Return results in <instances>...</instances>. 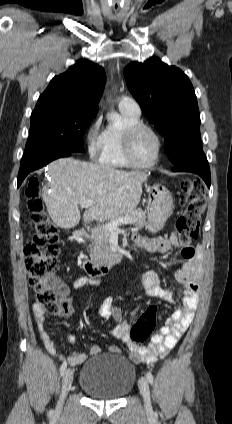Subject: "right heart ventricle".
<instances>
[{
    "label": "right heart ventricle",
    "instance_id": "right-heart-ventricle-1",
    "mask_svg": "<svg viewBox=\"0 0 232 424\" xmlns=\"http://www.w3.org/2000/svg\"><path fill=\"white\" fill-rule=\"evenodd\" d=\"M121 121L118 124L110 123L101 132L102 147L99 163L104 166L124 168L130 167L124 156L123 139L127 127L140 123V114L120 110Z\"/></svg>",
    "mask_w": 232,
    "mask_h": 424
}]
</instances>
